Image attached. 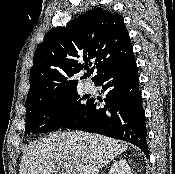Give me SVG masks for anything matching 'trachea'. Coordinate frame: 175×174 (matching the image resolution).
<instances>
[{"label":"trachea","mask_w":175,"mask_h":174,"mask_svg":"<svg viewBox=\"0 0 175 174\" xmlns=\"http://www.w3.org/2000/svg\"><path fill=\"white\" fill-rule=\"evenodd\" d=\"M90 74H91V72H88V73H87V76H90Z\"/></svg>","instance_id":"1"}]
</instances>
